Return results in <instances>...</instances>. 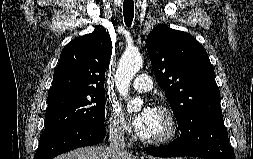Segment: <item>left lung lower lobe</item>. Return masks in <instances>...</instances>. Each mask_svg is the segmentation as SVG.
<instances>
[{"label": "left lung lower lobe", "instance_id": "0a47b994", "mask_svg": "<svg viewBox=\"0 0 253 159\" xmlns=\"http://www.w3.org/2000/svg\"><path fill=\"white\" fill-rule=\"evenodd\" d=\"M146 151L157 157L235 159L222 115L198 121L181 131L180 137L172 143L161 147H148Z\"/></svg>", "mask_w": 253, "mask_h": 159}]
</instances>
